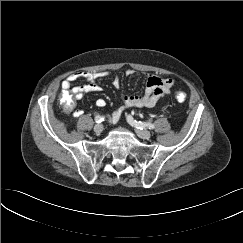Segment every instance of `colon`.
Listing matches in <instances>:
<instances>
[{"mask_svg":"<svg viewBox=\"0 0 243 243\" xmlns=\"http://www.w3.org/2000/svg\"><path fill=\"white\" fill-rule=\"evenodd\" d=\"M175 97H176L177 101L183 102L186 100L187 95L185 92L178 91V92H176ZM61 104L63 106V109L66 112L72 111L75 106V99H74L73 95L69 92H63L62 97H61Z\"/></svg>","mask_w":243,"mask_h":243,"instance_id":"obj_1","label":"colon"}]
</instances>
